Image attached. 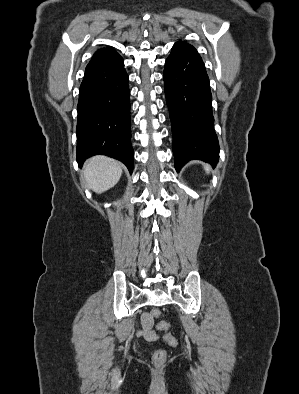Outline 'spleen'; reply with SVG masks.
I'll return each instance as SVG.
<instances>
[{
  "label": "spleen",
  "instance_id": "obj_1",
  "mask_svg": "<svg viewBox=\"0 0 299 394\" xmlns=\"http://www.w3.org/2000/svg\"><path fill=\"white\" fill-rule=\"evenodd\" d=\"M204 170L209 173L210 172V166L208 164H203Z\"/></svg>",
  "mask_w": 299,
  "mask_h": 394
}]
</instances>
